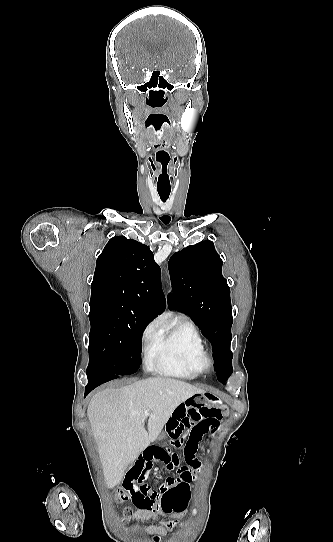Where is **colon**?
<instances>
[{
	"instance_id": "obj_1",
	"label": "colon",
	"mask_w": 333,
	"mask_h": 542,
	"mask_svg": "<svg viewBox=\"0 0 333 542\" xmlns=\"http://www.w3.org/2000/svg\"><path fill=\"white\" fill-rule=\"evenodd\" d=\"M199 460L192 461L191 466H184L183 470L181 472V478L184 480H189L191 478L192 474V467H199L200 466ZM193 492L190 489V486L188 483H182L180 487H172V489H165L163 492L162 502H163V509L167 512L168 515L173 516L175 514L180 515L182 512H191V509H189L190 504L187 500L193 501ZM129 498H133L129 494V489H118L117 491V501H124ZM180 499L177 503V500ZM177 503V504H176ZM176 504V505H175ZM127 511L133 510L132 504L126 505ZM189 522L192 520L190 517L187 519Z\"/></svg>"
}]
</instances>
